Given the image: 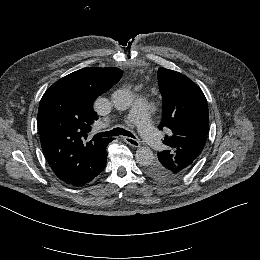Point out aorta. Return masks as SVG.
Masks as SVG:
<instances>
[{
	"label": "aorta",
	"mask_w": 260,
	"mask_h": 260,
	"mask_svg": "<svg viewBox=\"0 0 260 260\" xmlns=\"http://www.w3.org/2000/svg\"><path fill=\"white\" fill-rule=\"evenodd\" d=\"M133 101V94L128 89H119L112 94V103L118 110L123 111L129 109L132 106ZM135 159L140 165L148 166L154 160L153 151L149 147L142 146L137 149Z\"/></svg>",
	"instance_id": "obj_1"
}]
</instances>
